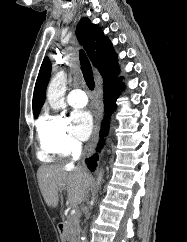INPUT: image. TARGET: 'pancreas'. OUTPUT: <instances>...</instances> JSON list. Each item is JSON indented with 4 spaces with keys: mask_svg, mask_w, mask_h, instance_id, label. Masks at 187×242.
<instances>
[{
    "mask_svg": "<svg viewBox=\"0 0 187 242\" xmlns=\"http://www.w3.org/2000/svg\"><path fill=\"white\" fill-rule=\"evenodd\" d=\"M80 216L81 213L77 212L68 217L65 223V235L68 242H79L80 238Z\"/></svg>",
    "mask_w": 187,
    "mask_h": 242,
    "instance_id": "obj_1",
    "label": "pancreas"
}]
</instances>
